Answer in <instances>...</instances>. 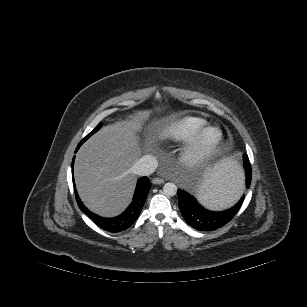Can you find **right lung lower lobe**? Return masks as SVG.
Segmentation results:
<instances>
[{
    "label": "right lung lower lobe",
    "instance_id": "1",
    "mask_svg": "<svg viewBox=\"0 0 307 307\" xmlns=\"http://www.w3.org/2000/svg\"><path fill=\"white\" fill-rule=\"evenodd\" d=\"M81 144L82 143L78 145L76 151L78 150ZM73 164H74V159L72 162V167ZM72 178H73V170H72ZM149 190H150V180L147 177H141L137 182V186L131 204L122 214L114 218H103L92 213L83 205L76 190H75V195L78 206L81 209V211L87 214L95 222V224H97V226L108 232H120L129 228L136 221L143 208Z\"/></svg>",
    "mask_w": 307,
    "mask_h": 307
}]
</instances>
